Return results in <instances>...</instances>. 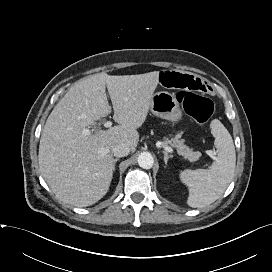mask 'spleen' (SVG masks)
<instances>
[{
    "mask_svg": "<svg viewBox=\"0 0 272 272\" xmlns=\"http://www.w3.org/2000/svg\"><path fill=\"white\" fill-rule=\"evenodd\" d=\"M217 156L208 170L186 169L180 172V180L189 190L187 204L202 208L215 202L233 179L236 153L232 137L224 125L214 119L210 124Z\"/></svg>",
    "mask_w": 272,
    "mask_h": 272,
    "instance_id": "obj_1",
    "label": "spleen"
}]
</instances>
